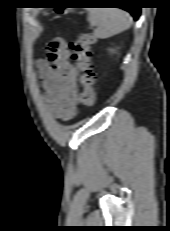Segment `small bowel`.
Segmentation results:
<instances>
[{
	"label": "small bowel",
	"mask_w": 170,
	"mask_h": 231,
	"mask_svg": "<svg viewBox=\"0 0 170 231\" xmlns=\"http://www.w3.org/2000/svg\"><path fill=\"white\" fill-rule=\"evenodd\" d=\"M39 74L49 111L59 119H72L79 100L77 71L70 64L68 43L63 38L48 44L46 57L39 63Z\"/></svg>",
	"instance_id": "small-bowel-1"
}]
</instances>
